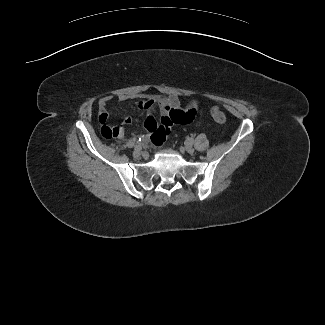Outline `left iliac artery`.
Returning a JSON list of instances; mask_svg holds the SVG:
<instances>
[{
  "label": "left iliac artery",
  "mask_w": 325,
  "mask_h": 325,
  "mask_svg": "<svg viewBox=\"0 0 325 325\" xmlns=\"http://www.w3.org/2000/svg\"><path fill=\"white\" fill-rule=\"evenodd\" d=\"M188 142H189V144H193L194 143V139L193 138H189L188 139Z\"/></svg>",
  "instance_id": "1"
}]
</instances>
